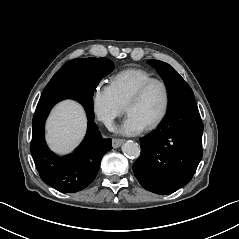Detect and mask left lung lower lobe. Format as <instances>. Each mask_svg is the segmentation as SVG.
<instances>
[{"mask_svg":"<svg viewBox=\"0 0 239 239\" xmlns=\"http://www.w3.org/2000/svg\"><path fill=\"white\" fill-rule=\"evenodd\" d=\"M203 128L194 97L169 107L160 126L140 139L141 155L133 165L139 183L157 194L186 185L202 159Z\"/></svg>","mask_w":239,"mask_h":239,"instance_id":"obj_1","label":"left lung lower lobe"}]
</instances>
